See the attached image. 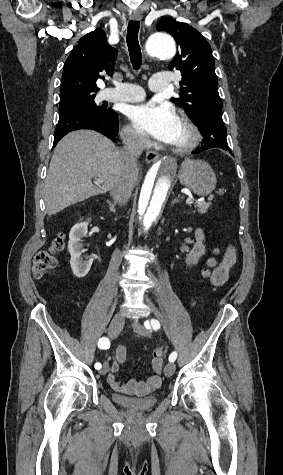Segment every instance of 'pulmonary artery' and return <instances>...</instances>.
I'll return each mask as SVG.
<instances>
[{
    "label": "pulmonary artery",
    "mask_w": 283,
    "mask_h": 475,
    "mask_svg": "<svg viewBox=\"0 0 283 475\" xmlns=\"http://www.w3.org/2000/svg\"><path fill=\"white\" fill-rule=\"evenodd\" d=\"M113 85L115 87H105L103 89L105 96H116L110 99L112 102H138L148 98V93L137 84L118 82V84ZM149 87L156 91L157 95H162L166 82L165 80H150Z\"/></svg>",
    "instance_id": "1"
}]
</instances>
